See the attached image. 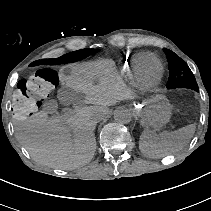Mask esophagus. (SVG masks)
Here are the masks:
<instances>
[{
	"label": "esophagus",
	"mask_w": 211,
	"mask_h": 211,
	"mask_svg": "<svg viewBox=\"0 0 211 211\" xmlns=\"http://www.w3.org/2000/svg\"><path fill=\"white\" fill-rule=\"evenodd\" d=\"M126 108L130 110L140 111L142 108L141 102H127Z\"/></svg>",
	"instance_id": "1"
}]
</instances>
